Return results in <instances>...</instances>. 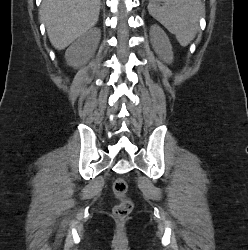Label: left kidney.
Listing matches in <instances>:
<instances>
[{
	"instance_id": "5707ae66",
	"label": "left kidney",
	"mask_w": 248,
	"mask_h": 250,
	"mask_svg": "<svg viewBox=\"0 0 248 250\" xmlns=\"http://www.w3.org/2000/svg\"><path fill=\"white\" fill-rule=\"evenodd\" d=\"M150 36L152 46L158 56L166 63H172V45L166 33L158 25H153L150 29Z\"/></svg>"
}]
</instances>
